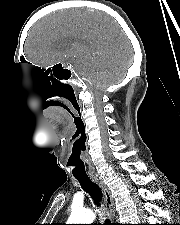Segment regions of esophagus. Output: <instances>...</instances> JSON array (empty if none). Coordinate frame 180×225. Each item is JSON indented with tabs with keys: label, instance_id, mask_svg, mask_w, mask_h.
<instances>
[{
	"label": "esophagus",
	"instance_id": "obj_1",
	"mask_svg": "<svg viewBox=\"0 0 180 225\" xmlns=\"http://www.w3.org/2000/svg\"><path fill=\"white\" fill-rule=\"evenodd\" d=\"M91 179L101 188L108 216L113 220L115 217V205L109 188L99 175H91Z\"/></svg>",
	"mask_w": 180,
	"mask_h": 225
}]
</instances>
